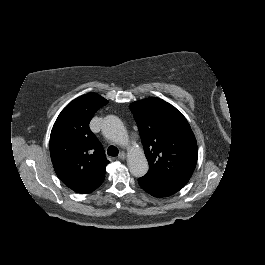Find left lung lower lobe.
Listing matches in <instances>:
<instances>
[{"mask_svg":"<svg viewBox=\"0 0 265 265\" xmlns=\"http://www.w3.org/2000/svg\"><path fill=\"white\" fill-rule=\"evenodd\" d=\"M139 185L149 194L155 197L170 196L184 187V185L166 184L148 177L138 179Z\"/></svg>","mask_w":265,"mask_h":265,"instance_id":"left-lung-lower-lobe-1","label":"left lung lower lobe"}]
</instances>
